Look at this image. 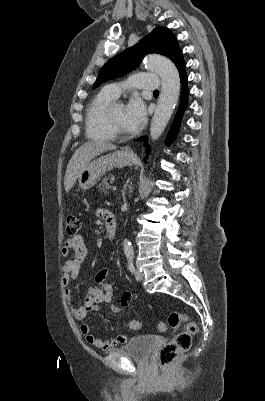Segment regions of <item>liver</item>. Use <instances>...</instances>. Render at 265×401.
I'll list each match as a JSON object with an SVG mask.
<instances>
[{"mask_svg":"<svg viewBox=\"0 0 265 401\" xmlns=\"http://www.w3.org/2000/svg\"><path fill=\"white\" fill-rule=\"evenodd\" d=\"M113 148H117V146L112 144V142H106V140H88V142H84L79 148H76L67 164L65 172L64 184L66 192L71 190L80 172L86 168V164L92 158H95L98 154H102V152H107V150H113Z\"/></svg>","mask_w":265,"mask_h":401,"instance_id":"obj_1","label":"liver"}]
</instances>
